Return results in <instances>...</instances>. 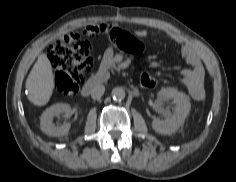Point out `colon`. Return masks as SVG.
<instances>
[{
  "mask_svg": "<svg viewBox=\"0 0 236 182\" xmlns=\"http://www.w3.org/2000/svg\"><path fill=\"white\" fill-rule=\"evenodd\" d=\"M83 33L105 34L114 45L130 54L138 55L144 50V45L139 39L113 25L88 27ZM47 53L55 71L56 90L63 96L75 95L85 77L94 68L89 43L77 34H69L50 42ZM140 84L144 88H153L157 80L150 72H143Z\"/></svg>",
  "mask_w": 236,
  "mask_h": 182,
  "instance_id": "1",
  "label": "colon"
}]
</instances>
